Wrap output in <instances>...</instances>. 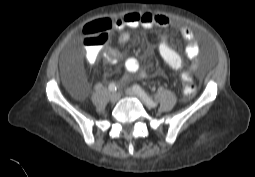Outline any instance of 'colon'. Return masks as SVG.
Listing matches in <instances>:
<instances>
[{
	"label": "colon",
	"mask_w": 255,
	"mask_h": 177,
	"mask_svg": "<svg viewBox=\"0 0 255 177\" xmlns=\"http://www.w3.org/2000/svg\"><path fill=\"white\" fill-rule=\"evenodd\" d=\"M111 23L106 19H100L88 23L84 29V41L88 45H103L108 41V31ZM155 48L161 54L162 61L175 69L179 82L185 85L184 93L188 97L195 94L196 86L193 84V75L185 60L180 56L178 49L168 41V34L165 31H158L155 34Z\"/></svg>",
	"instance_id": "1"
}]
</instances>
